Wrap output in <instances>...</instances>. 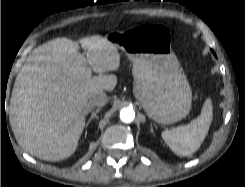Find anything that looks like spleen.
Instances as JSON below:
<instances>
[{"instance_id": "3e777b00", "label": "spleen", "mask_w": 245, "mask_h": 187, "mask_svg": "<svg viewBox=\"0 0 245 187\" xmlns=\"http://www.w3.org/2000/svg\"><path fill=\"white\" fill-rule=\"evenodd\" d=\"M213 118V106L206 99L201 114L187 125L165 130L161 136L169 148L178 156H189L197 151L207 136Z\"/></svg>"}]
</instances>
